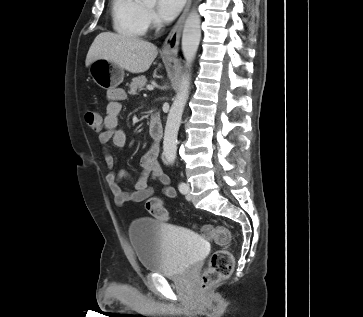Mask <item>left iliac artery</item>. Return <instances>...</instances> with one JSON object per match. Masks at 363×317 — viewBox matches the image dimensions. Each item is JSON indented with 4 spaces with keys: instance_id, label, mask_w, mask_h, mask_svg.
Listing matches in <instances>:
<instances>
[{
    "instance_id": "1",
    "label": "left iliac artery",
    "mask_w": 363,
    "mask_h": 317,
    "mask_svg": "<svg viewBox=\"0 0 363 317\" xmlns=\"http://www.w3.org/2000/svg\"><path fill=\"white\" fill-rule=\"evenodd\" d=\"M178 188H179V191H180L181 193H186V189H187V187H186V184H185L184 182H181V183L179 184Z\"/></svg>"
}]
</instances>
